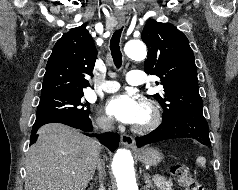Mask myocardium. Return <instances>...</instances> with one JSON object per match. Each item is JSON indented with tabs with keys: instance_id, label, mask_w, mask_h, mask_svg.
Segmentation results:
<instances>
[{
	"instance_id": "obj_1",
	"label": "myocardium",
	"mask_w": 238,
	"mask_h": 190,
	"mask_svg": "<svg viewBox=\"0 0 238 190\" xmlns=\"http://www.w3.org/2000/svg\"><path fill=\"white\" fill-rule=\"evenodd\" d=\"M140 104L148 112V119L144 123L134 124L132 130L139 134L149 133L159 126L161 122V112L157 104L149 98H142Z\"/></svg>"
}]
</instances>
